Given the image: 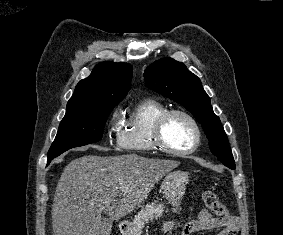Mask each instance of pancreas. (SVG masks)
<instances>
[{
  "instance_id": "obj_1",
  "label": "pancreas",
  "mask_w": 283,
  "mask_h": 235,
  "mask_svg": "<svg viewBox=\"0 0 283 235\" xmlns=\"http://www.w3.org/2000/svg\"><path fill=\"white\" fill-rule=\"evenodd\" d=\"M165 206L161 203L152 202L142 207L141 211L135 216L133 220V225L136 231L139 233L145 223L153 221L163 215Z\"/></svg>"
}]
</instances>
